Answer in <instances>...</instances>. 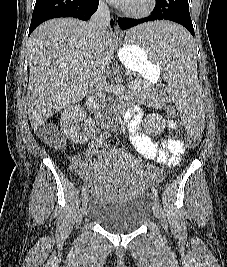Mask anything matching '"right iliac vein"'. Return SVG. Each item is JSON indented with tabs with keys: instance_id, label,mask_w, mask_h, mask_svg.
Returning a JSON list of instances; mask_svg holds the SVG:
<instances>
[{
	"instance_id": "63e3f726",
	"label": "right iliac vein",
	"mask_w": 227,
	"mask_h": 267,
	"mask_svg": "<svg viewBox=\"0 0 227 267\" xmlns=\"http://www.w3.org/2000/svg\"><path fill=\"white\" fill-rule=\"evenodd\" d=\"M88 206V196L84 195L82 199V214L84 215L86 213Z\"/></svg>"
}]
</instances>
